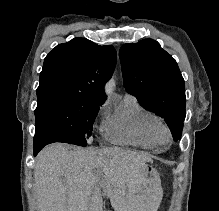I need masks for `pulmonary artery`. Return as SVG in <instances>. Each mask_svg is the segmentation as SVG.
Listing matches in <instances>:
<instances>
[{"label":"pulmonary artery","mask_w":219,"mask_h":211,"mask_svg":"<svg viewBox=\"0 0 219 211\" xmlns=\"http://www.w3.org/2000/svg\"><path fill=\"white\" fill-rule=\"evenodd\" d=\"M125 98H133L131 95H129V94H125V96H124Z\"/></svg>","instance_id":"obj_1"}]
</instances>
